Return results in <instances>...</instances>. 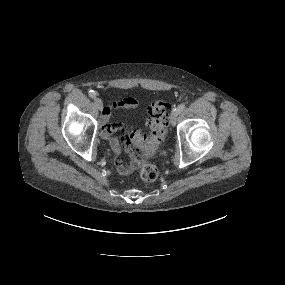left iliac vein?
Instances as JSON below:
<instances>
[{"mask_svg":"<svg viewBox=\"0 0 285 285\" xmlns=\"http://www.w3.org/2000/svg\"><path fill=\"white\" fill-rule=\"evenodd\" d=\"M179 115V112L174 110L172 113H171V117H170V122H171V125H175L176 122H177V117Z\"/></svg>","mask_w":285,"mask_h":285,"instance_id":"4c4485c4","label":"left iliac vein"}]
</instances>
